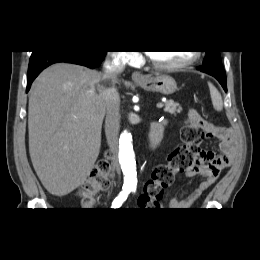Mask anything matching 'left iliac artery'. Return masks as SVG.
I'll return each instance as SVG.
<instances>
[{"mask_svg":"<svg viewBox=\"0 0 260 260\" xmlns=\"http://www.w3.org/2000/svg\"><path fill=\"white\" fill-rule=\"evenodd\" d=\"M133 192H135V190H136V187H132V189H131Z\"/></svg>","mask_w":260,"mask_h":260,"instance_id":"left-iliac-artery-1","label":"left iliac artery"}]
</instances>
